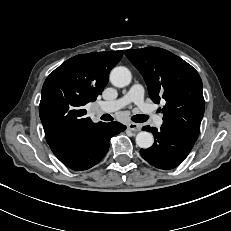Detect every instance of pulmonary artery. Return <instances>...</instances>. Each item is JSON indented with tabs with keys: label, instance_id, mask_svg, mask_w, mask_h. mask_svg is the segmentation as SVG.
Wrapping results in <instances>:
<instances>
[{
	"label": "pulmonary artery",
	"instance_id": "1",
	"mask_svg": "<svg viewBox=\"0 0 231 231\" xmlns=\"http://www.w3.org/2000/svg\"><path fill=\"white\" fill-rule=\"evenodd\" d=\"M134 103L139 106V108L146 112L151 113L152 107L144 101V89L140 84H134L121 98L101 103L100 107L104 111H117L126 107L127 105ZM154 122L157 126L162 124V117L155 116Z\"/></svg>",
	"mask_w": 231,
	"mask_h": 231
}]
</instances>
